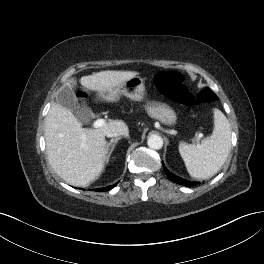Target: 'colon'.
<instances>
[{
	"instance_id": "5ec220e1",
	"label": "colon",
	"mask_w": 264,
	"mask_h": 264,
	"mask_svg": "<svg viewBox=\"0 0 264 264\" xmlns=\"http://www.w3.org/2000/svg\"><path fill=\"white\" fill-rule=\"evenodd\" d=\"M154 82L161 94L185 106L211 103L216 99L215 93L209 88L196 93L190 92L183 84L182 75L176 71L160 72L155 76Z\"/></svg>"
}]
</instances>
